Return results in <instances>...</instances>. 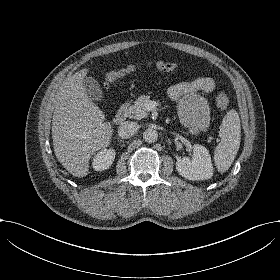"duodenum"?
I'll return each mask as SVG.
<instances>
[{
	"label": "duodenum",
	"mask_w": 280,
	"mask_h": 280,
	"mask_svg": "<svg viewBox=\"0 0 280 280\" xmlns=\"http://www.w3.org/2000/svg\"><path fill=\"white\" fill-rule=\"evenodd\" d=\"M129 111H130L129 103L121 104L115 115V121L117 123H123L124 121H126L129 115Z\"/></svg>",
	"instance_id": "410a0bca"
}]
</instances>
